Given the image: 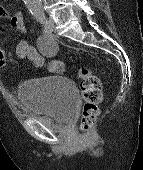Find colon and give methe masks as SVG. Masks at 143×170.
Segmentation results:
<instances>
[{"instance_id": "1", "label": "colon", "mask_w": 143, "mask_h": 170, "mask_svg": "<svg viewBox=\"0 0 143 170\" xmlns=\"http://www.w3.org/2000/svg\"><path fill=\"white\" fill-rule=\"evenodd\" d=\"M63 69V63L56 66L57 72H62ZM79 77L81 79V94L85 102L81 128L83 131H86L95 122L99 114V105L102 100V84L89 68H81Z\"/></svg>"}]
</instances>
